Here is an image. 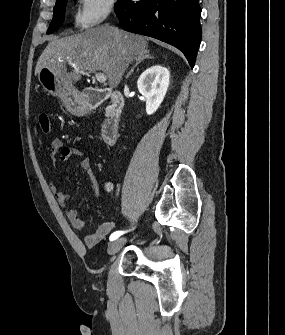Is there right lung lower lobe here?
<instances>
[{
  "label": "right lung lower lobe",
  "instance_id": "1",
  "mask_svg": "<svg viewBox=\"0 0 285 335\" xmlns=\"http://www.w3.org/2000/svg\"><path fill=\"white\" fill-rule=\"evenodd\" d=\"M115 12L123 29L175 46L193 68L202 36L198 0H118Z\"/></svg>",
  "mask_w": 285,
  "mask_h": 335
}]
</instances>
